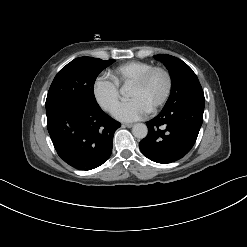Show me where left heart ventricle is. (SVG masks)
<instances>
[{
  "mask_svg": "<svg viewBox=\"0 0 247 247\" xmlns=\"http://www.w3.org/2000/svg\"><path fill=\"white\" fill-rule=\"evenodd\" d=\"M167 86L166 77L161 72H155L148 82L142 86H131L130 99H139L151 109L164 95Z\"/></svg>",
  "mask_w": 247,
  "mask_h": 247,
  "instance_id": "1",
  "label": "left heart ventricle"
}]
</instances>
